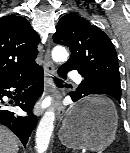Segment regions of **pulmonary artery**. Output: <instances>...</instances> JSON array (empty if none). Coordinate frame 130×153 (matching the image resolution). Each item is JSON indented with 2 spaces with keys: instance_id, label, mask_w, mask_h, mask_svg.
<instances>
[{
  "instance_id": "pulmonary-artery-1",
  "label": "pulmonary artery",
  "mask_w": 130,
  "mask_h": 153,
  "mask_svg": "<svg viewBox=\"0 0 130 153\" xmlns=\"http://www.w3.org/2000/svg\"><path fill=\"white\" fill-rule=\"evenodd\" d=\"M69 77L71 80H73L77 84H80L82 81V77L76 72H70Z\"/></svg>"
}]
</instances>
